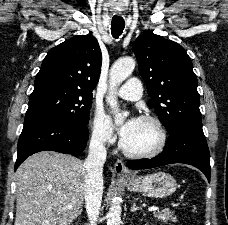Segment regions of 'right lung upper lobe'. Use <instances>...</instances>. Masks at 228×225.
<instances>
[{
    "label": "right lung upper lobe",
    "mask_w": 228,
    "mask_h": 225,
    "mask_svg": "<svg viewBox=\"0 0 228 225\" xmlns=\"http://www.w3.org/2000/svg\"><path fill=\"white\" fill-rule=\"evenodd\" d=\"M102 64L98 41L92 35H76L52 48L36 75L35 85L60 83L91 92Z\"/></svg>",
    "instance_id": "right-lung-upper-lobe-1"
}]
</instances>
